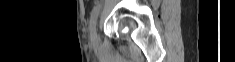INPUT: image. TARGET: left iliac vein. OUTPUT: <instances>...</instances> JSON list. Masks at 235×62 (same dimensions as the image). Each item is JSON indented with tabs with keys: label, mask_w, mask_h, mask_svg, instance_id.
Instances as JSON below:
<instances>
[{
	"label": "left iliac vein",
	"mask_w": 235,
	"mask_h": 62,
	"mask_svg": "<svg viewBox=\"0 0 235 62\" xmlns=\"http://www.w3.org/2000/svg\"><path fill=\"white\" fill-rule=\"evenodd\" d=\"M90 41L92 44H97L98 43V35H97V28L96 25H94L91 29H90Z\"/></svg>",
	"instance_id": "left-iliac-vein-1"
}]
</instances>
